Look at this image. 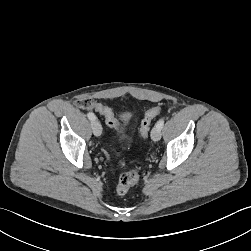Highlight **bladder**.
Masks as SVG:
<instances>
[{
  "label": "bladder",
  "mask_w": 251,
  "mask_h": 251,
  "mask_svg": "<svg viewBox=\"0 0 251 251\" xmlns=\"http://www.w3.org/2000/svg\"><path fill=\"white\" fill-rule=\"evenodd\" d=\"M129 118H130L129 114H128V113H124V114H122V115L120 116V122H121L122 124H127L128 121H129Z\"/></svg>",
  "instance_id": "obj_1"
}]
</instances>
